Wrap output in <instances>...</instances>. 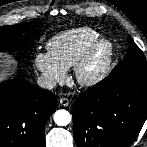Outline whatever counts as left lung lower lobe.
<instances>
[{
    "label": "left lung lower lobe",
    "instance_id": "1",
    "mask_svg": "<svg viewBox=\"0 0 147 147\" xmlns=\"http://www.w3.org/2000/svg\"><path fill=\"white\" fill-rule=\"evenodd\" d=\"M147 118V74L110 73L85 90L73 109L78 147H130Z\"/></svg>",
    "mask_w": 147,
    "mask_h": 147
}]
</instances>
